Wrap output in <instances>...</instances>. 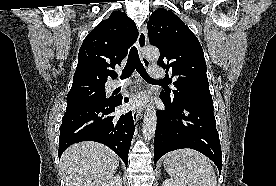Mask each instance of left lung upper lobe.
I'll return each instance as SVG.
<instances>
[{
	"mask_svg": "<svg viewBox=\"0 0 276 186\" xmlns=\"http://www.w3.org/2000/svg\"><path fill=\"white\" fill-rule=\"evenodd\" d=\"M147 30L149 43L160 50L157 64L176 79L175 90L161 93L166 101L175 106L213 103L204 53L188 26L171 10L159 8L149 17Z\"/></svg>",
	"mask_w": 276,
	"mask_h": 186,
	"instance_id": "5c2ea615",
	"label": "left lung upper lobe"
}]
</instances>
